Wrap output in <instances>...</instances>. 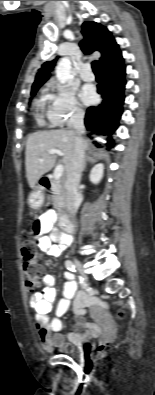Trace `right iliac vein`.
Returning <instances> with one entry per match:
<instances>
[{"label":"right iliac vein","instance_id":"obj_1","mask_svg":"<svg viewBox=\"0 0 155 395\" xmlns=\"http://www.w3.org/2000/svg\"><path fill=\"white\" fill-rule=\"evenodd\" d=\"M74 264H75V267L77 268L78 272L86 278V275H85V272H84L81 262L77 259H74Z\"/></svg>","mask_w":155,"mask_h":395}]
</instances>
